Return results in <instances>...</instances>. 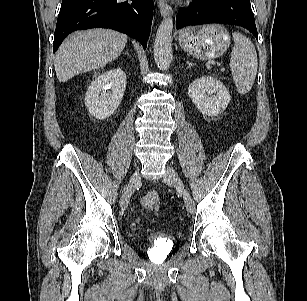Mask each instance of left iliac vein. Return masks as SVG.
<instances>
[{"label":"left iliac vein","mask_w":307,"mask_h":301,"mask_svg":"<svg viewBox=\"0 0 307 301\" xmlns=\"http://www.w3.org/2000/svg\"><path fill=\"white\" fill-rule=\"evenodd\" d=\"M163 181L169 186H174L183 195L187 211L193 212L195 207L194 201L192 200L188 191L185 189L183 182L174 168L169 166L166 168Z\"/></svg>","instance_id":"4c4485c4"}]
</instances>
